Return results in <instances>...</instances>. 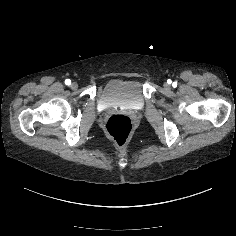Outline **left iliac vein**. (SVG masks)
<instances>
[{
  "instance_id": "obj_1",
  "label": "left iliac vein",
  "mask_w": 236,
  "mask_h": 236,
  "mask_svg": "<svg viewBox=\"0 0 236 236\" xmlns=\"http://www.w3.org/2000/svg\"><path fill=\"white\" fill-rule=\"evenodd\" d=\"M165 87H166V88H169L170 85H169L168 83H165Z\"/></svg>"
}]
</instances>
